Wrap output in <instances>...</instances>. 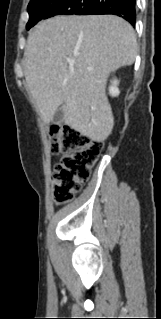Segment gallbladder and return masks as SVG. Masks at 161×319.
<instances>
[{
    "instance_id": "obj_1",
    "label": "gallbladder",
    "mask_w": 161,
    "mask_h": 319,
    "mask_svg": "<svg viewBox=\"0 0 161 319\" xmlns=\"http://www.w3.org/2000/svg\"><path fill=\"white\" fill-rule=\"evenodd\" d=\"M52 122L54 124H61L63 122V111L58 107L54 113Z\"/></svg>"
}]
</instances>
